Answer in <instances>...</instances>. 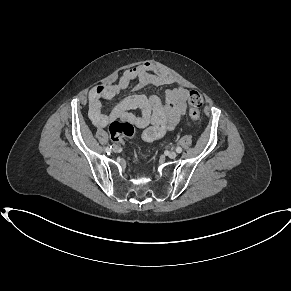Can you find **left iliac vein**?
Instances as JSON below:
<instances>
[{"label": "left iliac vein", "instance_id": "left-iliac-vein-1", "mask_svg": "<svg viewBox=\"0 0 291 291\" xmlns=\"http://www.w3.org/2000/svg\"><path fill=\"white\" fill-rule=\"evenodd\" d=\"M168 157L171 159H175L177 157V153L174 151H171L168 153Z\"/></svg>", "mask_w": 291, "mask_h": 291}]
</instances>
